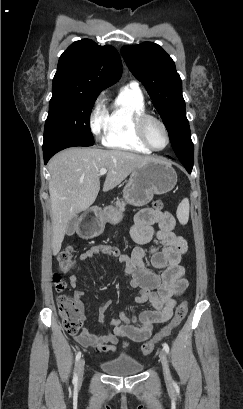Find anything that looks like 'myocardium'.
Instances as JSON below:
<instances>
[{
	"mask_svg": "<svg viewBox=\"0 0 243 409\" xmlns=\"http://www.w3.org/2000/svg\"><path fill=\"white\" fill-rule=\"evenodd\" d=\"M150 120L155 121L156 123H158L162 127V129H163V131H164V133L166 135V144H165V146L163 148L159 149V148L154 147L152 145V143L149 141L148 137H147L146 124ZM135 127H136V132H137L138 137L140 138L142 143L144 145H146L150 150L160 152V151H164L169 146V144H170L169 130H168L166 124L160 118H158L157 116H154L152 114L144 112V113H142V114H140V115H138L136 117Z\"/></svg>",
	"mask_w": 243,
	"mask_h": 409,
	"instance_id": "obj_1",
	"label": "myocardium"
}]
</instances>
